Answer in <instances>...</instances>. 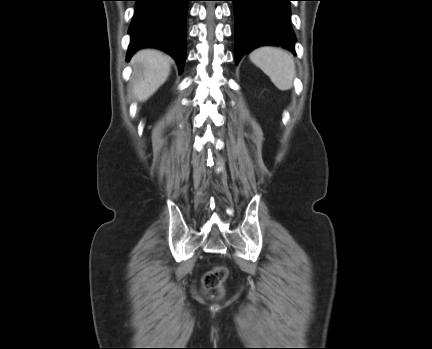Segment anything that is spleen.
<instances>
[{
	"label": "spleen",
	"instance_id": "obj_1",
	"mask_svg": "<svg viewBox=\"0 0 432 349\" xmlns=\"http://www.w3.org/2000/svg\"><path fill=\"white\" fill-rule=\"evenodd\" d=\"M249 59L258 66L281 91L293 87L296 67L293 56L277 47H260L250 53Z\"/></svg>",
	"mask_w": 432,
	"mask_h": 349
}]
</instances>
